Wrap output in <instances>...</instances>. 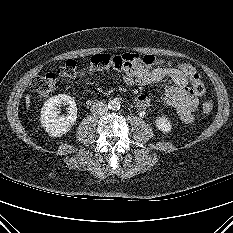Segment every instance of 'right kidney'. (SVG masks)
<instances>
[{
	"mask_svg": "<svg viewBox=\"0 0 233 233\" xmlns=\"http://www.w3.org/2000/svg\"><path fill=\"white\" fill-rule=\"evenodd\" d=\"M62 102L69 104V111L66 117L58 115V106ZM76 119V103L68 95L60 94L49 98L41 109V124L53 137H60L70 131Z\"/></svg>",
	"mask_w": 233,
	"mask_h": 233,
	"instance_id": "obj_1",
	"label": "right kidney"
}]
</instances>
